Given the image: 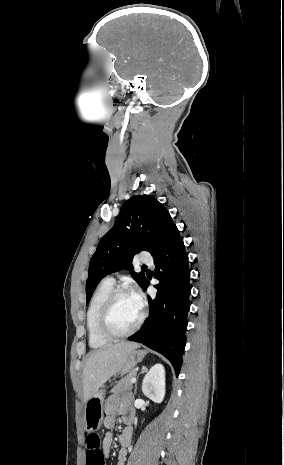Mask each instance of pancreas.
Wrapping results in <instances>:
<instances>
[{
    "instance_id": "obj_1",
    "label": "pancreas",
    "mask_w": 284,
    "mask_h": 465,
    "mask_svg": "<svg viewBox=\"0 0 284 465\" xmlns=\"http://www.w3.org/2000/svg\"><path fill=\"white\" fill-rule=\"evenodd\" d=\"M135 375L136 371H130V373H128L126 377H123V379H120V381H118L117 385H115L111 393H114V395H123V393H128V391H132L133 385L131 383V379H133Z\"/></svg>"
}]
</instances>
